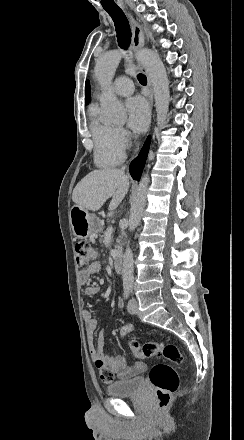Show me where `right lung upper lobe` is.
<instances>
[{
    "mask_svg": "<svg viewBox=\"0 0 244 440\" xmlns=\"http://www.w3.org/2000/svg\"><path fill=\"white\" fill-rule=\"evenodd\" d=\"M91 100V96H90V83L87 80L85 83V102L88 103Z\"/></svg>",
    "mask_w": 244,
    "mask_h": 440,
    "instance_id": "1",
    "label": "right lung upper lobe"
}]
</instances>
